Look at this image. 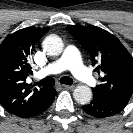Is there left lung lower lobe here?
<instances>
[{
	"label": "left lung lower lobe",
	"mask_w": 133,
	"mask_h": 133,
	"mask_svg": "<svg viewBox=\"0 0 133 133\" xmlns=\"http://www.w3.org/2000/svg\"><path fill=\"white\" fill-rule=\"evenodd\" d=\"M123 106L94 96L90 104L83 106V110L90 116L104 118L118 114Z\"/></svg>",
	"instance_id": "left-lung-lower-lobe-1"
}]
</instances>
